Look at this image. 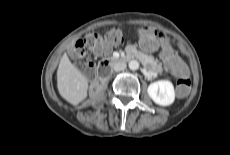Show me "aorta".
I'll return each mask as SVG.
<instances>
[{"label":"aorta","mask_w":230,"mask_h":155,"mask_svg":"<svg viewBox=\"0 0 230 155\" xmlns=\"http://www.w3.org/2000/svg\"><path fill=\"white\" fill-rule=\"evenodd\" d=\"M130 70H137L139 68V62L137 60H131L128 64Z\"/></svg>","instance_id":"1"}]
</instances>
